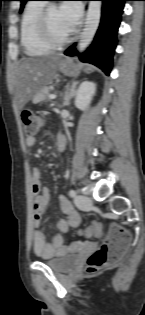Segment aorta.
Listing matches in <instances>:
<instances>
[{"label": "aorta", "instance_id": "762f6f07", "mask_svg": "<svg viewBox=\"0 0 145 315\" xmlns=\"http://www.w3.org/2000/svg\"><path fill=\"white\" fill-rule=\"evenodd\" d=\"M101 1H90L88 5L85 26L80 35L78 50L82 52L93 40L101 18Z\"/></svg>", "mask_w": 145, "mask_h": 315}]
</instances>
